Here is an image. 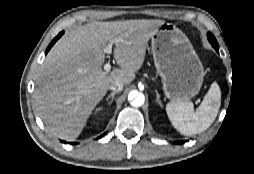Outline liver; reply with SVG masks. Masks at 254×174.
Returning a JSON list of instances; mask_svg holds the SVG:
<instances>
[{
  "label": "liver",
  "mask_w": 254,
  "mask_h": 174,
  "mask_svg": "<svg viewBox=\"0 0 254 174\" xmlns=\"http://www.w3.org/2000/svg\"><path fill=\"white\" fill-rule=\"evenodd\" d=\"M163 20L92 22L63 36L47 54L36 77L34 106L54 136L73 141L115 81L125 85L142 67L146 48ZM115 45L121 69L102 70L107 43Z\"/></svg>",
  "instance_id": "1"
}]
</instances>
